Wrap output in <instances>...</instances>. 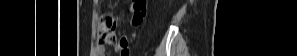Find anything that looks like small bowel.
Wrapping results in <instances>:
<instances>
[{
    "label": "small bowel",
    "instance_id": "small-bowel-1",
    "mask_svg": "<svg viewBox=\"0 0 297 56\" xmlns=\"http://www.w3.org/2000/svg\"><path fill=\"white\" fill-rule=\"evenodd\" d=\"M127 48H130V36H120L119 45L116 46L115 50L120 52L122 56H128L129 53ZM96 52L98 56L106 55V51L103 46H98Z\"/></svg>",
    "mask_w": 297,
    "mask_h": 56
}]
</instances>
